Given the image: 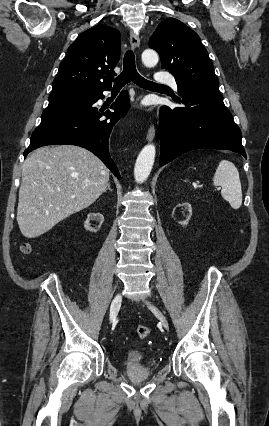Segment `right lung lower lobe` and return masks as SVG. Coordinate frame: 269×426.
<instances>
[{
    "instance_id": "98d812e1",
    "label": "right lung lower lobe",
    "mask_w": 269,
    "mask_h": 426,
    "mask_svg": "<svg viewBox=\"0 0 269 426\" xmlns=\"http://www.w3.org/2000/svg\"><path fill=\"white\" fill-rule=\"evenodd\" d=\"M105 90L92 92L91 98L79 108L42 118L32 133L24 158L29 152L44 145H77L94 153L120 179L119 171L110 157L108 143L113 126L127 114L130 103L124 91L110 107L115 112L103 113L95 103L104 98ZM103 116L107 118L103 119Z\"/></svg>"
}]
</instances>
